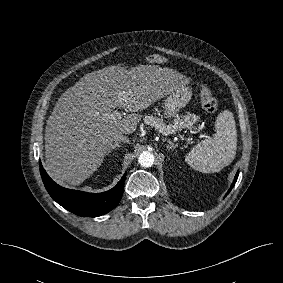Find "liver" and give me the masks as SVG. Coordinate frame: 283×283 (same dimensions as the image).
<instances>
[{
  "label": "liver",
  "mask_w": 283,
  "mask_h": 283,
  "mask_svg": "<svg viewBox=\"0 0 283 283\" xmlns=\"http://www.w3.org/2000/svg\"><path fill=\"white\" fill-rule=\"evenodd\" d=\"M183 76L169 68L109 66L83 76L56 103L45 129V169L57 182L79 185L101 165L117 134H132L136 114L167 96ZM120 107L131 114L113 120Z\"/></svg>",
  "instance_id": "6515ba94"
}]
</instances>
